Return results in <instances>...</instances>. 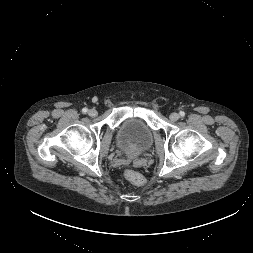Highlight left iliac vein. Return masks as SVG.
<instances>
[{
  "mask_svg": "<svg viewBox=\"0 0 253 253\" xmlns=\"http://www.w3.org/2000/svg\"><path fill=\"white\" fill-rule=\"evenodd\" d=\"M179 117L180 116L177 113H171L170 116H169L171 121H177L179 119Z\"/></svg>",
  "mask_w": 253,
  "mask_h": 253,
  "instance_id": "1",
  "label": "left iliac vein"
}]
</instances>
